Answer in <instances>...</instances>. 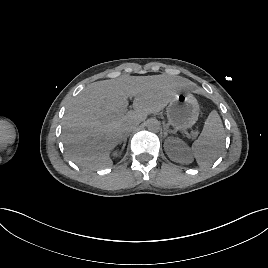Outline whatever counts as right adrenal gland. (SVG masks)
Returning a JSON list of instances; mask_svg holds the SVG:
<instances>
[{
	"label": "right adrenal gland",
	"instance_id": "1",
	"mask_svg": "<svg viewBox=\"0 0 268 268\" xmlns=\"http://www.w3.org/2000/svg\"><path fill=\"white\" fill-rule=\"evenodd\" d=\"M122 142H123V145H122V149H121V150H123V149L125 148V146H126L127 137H123V138L120 140V143H119V144H121Z\"/></svg>",
	"mask_w": 268,
	"mask_h": 268
}]
</instances>
